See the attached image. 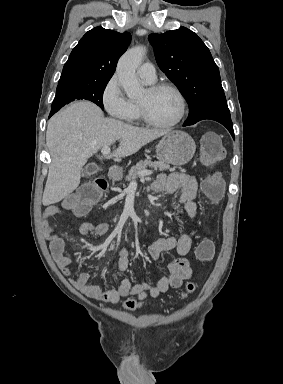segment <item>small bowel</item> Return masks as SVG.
Listing matches in <instances>:
<instances>
[{
	"mask_svg": "<svg viewBox=\"0 0 283 384\" xmlns=\"http://www.w3.org/2000/svg\"><path fill=\"white\" fill-rule=\"evenodd\" d=\"M156 192L174 193L180 191V202L183 204L188 216L193 218L196 214L194 199L197 194L198 184L196 179L183 172H173L160 175L153 183ZM63 214L59 206H49L45 210L42 222L45 238L49 242L51 255L59 269L66 276H70L71 259L65 253L64 240L56 233L50 223V219ZM109 224L100 222H84L79 226V232L88 236H103L108 233ZM192 246L191 237L188 234L181 236H169L150 240L148 254L153 260H158L165 251L175 250L179 257L172 261L169 266V274L161 278L155 285L141 283L133 285L128 279L122 280L111 289H104L101 285L90 284L91 273H81L71 279L72 285L81 293L92 299L105 302L117 303L123 298L135 296L138 300H144L148 296L156 298L165 293L169 288H180L183 282L192 275V267L186 255ZM115 266L119 271L126 270L128 266V251L122 248L118 253Z\"/></svg>",
	"mask_w": 283,
	"mask_h": 384,
	"instance_id": "obj_1",
	"label": "small bowel"
}]
</instances>
